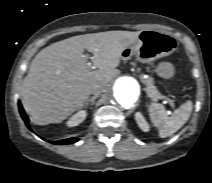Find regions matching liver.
Instances as JSON below:
<instances>
[{"label":"liver","mask_w":212,"mask_h":183,"mask_svg":"<svg viewBox=\"0 0 212 183\" xmlns=\"http://www.w3.org/2000/svg\"><path fill=\"white\" fill-rule=\"evenodd\" d=\"M141 31H107L73 36L42 49L22 85V104L35 124L60 123L84 107L95 84L119 74L123 51ZM93 54L92 71L84 50Z\"/></svg>","instance_id":"1"}]
</instances>
